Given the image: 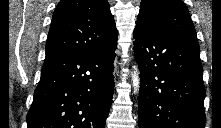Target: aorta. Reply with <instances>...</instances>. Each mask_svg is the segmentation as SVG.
<instances>
[{"label":"aorta","mask_w":221,"mask_h":128,"mask_svg":"<svg viewBox=\"0 0 221 128\" xmlns=\"http://www.w3.org/2000/svg\"><path fill=\"white\" fill-rule=\"evenodd\" d=\"M134 69H135V71H134V74H132V81H133L134 90L137 91L139 89L140 79L138 76L137 68L134 67Z\"/></svg>","instance_id":"obj_1"}]
</instances>
